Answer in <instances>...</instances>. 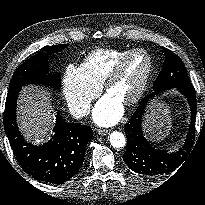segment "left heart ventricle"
<instances>
[{
	"instance_id": "obj_1",
	"label": "left heart ventricle",
	"mask_w": 205,
	"mask_h": 205,
	"mask_svg": "<svg viewBox=\"0 0 205 205\" xmlns=\"http://www.w3.org/2000/svg\"><path fill=\"white\" fill-rule=\"evenodd\" d=\"M147 67L148 58L145 54L132 56L127 61L121 77L110 87L108 95L119 102L129 99L138 89Z\"/></svg>"
}]
</instances>
